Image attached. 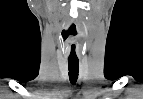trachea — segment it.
<instances>
[{
	"mask_svg": "<svg viewBox=\"0 0 143 99\" xmlns=\"http://www.w3.org/2000/svg\"><path fill=\"white\" fill-rule=\"evenodd\" d=\"M68 70L71 84H76L79 73V61L68 60Z\"/></svg>",
	"mask_w": 143,
	"mask_h": 99,
	"instance_id": "3493384b",
	"label": "trachea"
}]
</instances>
